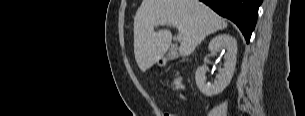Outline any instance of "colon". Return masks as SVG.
<instances>
[{
  "instance_id": "obj_1",
  "label": "colon",
  "mask_w": 305,
  "mask_h": 116,
  "mask_svg": "<svg viewBox=\"0 0 305 116\" xmlns=\"http://www.w3.org/2000/svg\"><path fill=\"white\" fill-rule=\"evenodd\" d=\"M172 87L173 89L177 90V91H182L184 86H183V83H182V75L181 73H177L173 82H172ZM162 116H175L173 113H170V112H164L162 114Z\"/></svg>"
}]
</instances>
